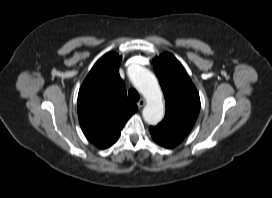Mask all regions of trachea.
<instances>
[{
  "instance_id": "trachea-1",
  "label": "trachea",
  "mask_w": 272,
  "mask_h": 198,
  "mask_svg": "<svg viewBox=\"0 0 272 198\" xmlns=\"http://www.w3.org/2000/svg\"><path fill=\"white\" fill-rule=\"evenodd\" d=\"M128 97L133 102H137L140 98L139 93L134 88L128 91Z\"/></svg>"
}]
</instances>
